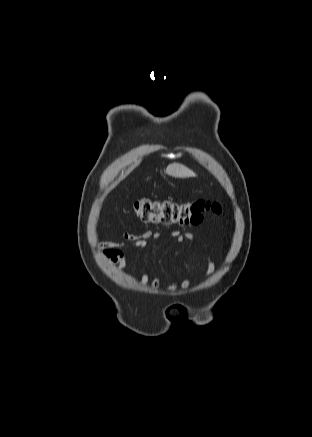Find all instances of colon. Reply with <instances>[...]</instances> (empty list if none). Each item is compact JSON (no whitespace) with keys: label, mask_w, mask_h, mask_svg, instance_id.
<instances>
[{"label":"colon","mask_w":312,"mask_h":437,"mask_svg":"<svg viewBox=\"0 0 312 437\" xmlns=\"http://www.w3.org/2000/svg\"><path fill=\"white\" fill-rule=\"evenodd\" d=\"M135 216L144 223L198 225L209 213H220L218 203L205 200L177 202L142 198L133 205Z\"/></svg>","instance_id":"1"}]
</instances>
